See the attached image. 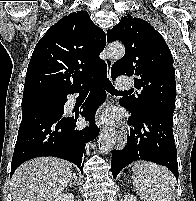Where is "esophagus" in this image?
<instances>
[{"label":"esophagus","mask_w":196,"mask_h":201,"mask_svg":"<svg viewBox=\"0 0 196 201\" xmlns=\"http://www.w3.org/2000/svg\"><path fill=\"white\" fill-rule=\"evenodd\" d=\"M106 64H107V67H108V73H107V76L110 80H112V76H111V67H112V64H113V61L111 59H107L106 60ZM105 131V128H102L101 129V133ZM125 144H126V132L125 130H121L119 132V136H118V141H117V149L121 150L125 147Z\"/></svg>","instance_id":"1"}]
</instances>
